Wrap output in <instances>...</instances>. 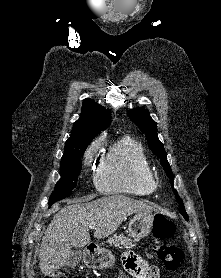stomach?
Listing matches in <instances>:
<instances>
[{"label":"stomach","mask_w":221,"mask_h":278,"mask_svg":"<svg viewBox=\"0 0 221 278\" xmlns=\"http://www.w3.org/2000/svg\"><path fill=\"white\" fill-rule=\"evenodd\" d=\"M153 222L154 216L152 213H137L130 220L129 235L137 241L147 237L153 228ZM87 263L95 269L111 268L115 263V256L107 249L98 248L94 254L89 255Z\"/></svg>","instance_id":"1"}]
</instances>
